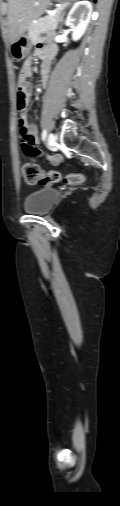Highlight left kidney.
I'll return each instance as SVG.
<instances>
[{
    "label": "left kidney",
    "instance_id": "5707ae66",
    "mask_svg": "<svg viewBox=\"0 0 120 506\" xmlns=\"http://www.w3.org/2000/svg\"><path fill=\"white\" fill-rule=\"evenodd\" d=\"M92 14L89 1L76 2L68 13L65 25L72 31V40H79L85 33Z\"/></svg>",
    "mask_w": 120,
    "mask_h": 506
}]
</instances>
